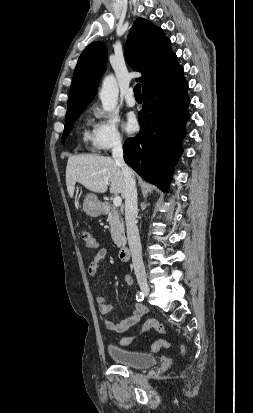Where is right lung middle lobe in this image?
<instances>
[{
    "instance_id": "dd1d6c3e",
    "label": "right lung middle lobe",
    "mask_w": 253,
    "mask_h": 413,
    "mask_svg": "<svg viewBox=\"0 0 253 413\" xmlns=\"http://www.w3.org/2000/svg\"><path fill=\"white\" fill-rule=\"evenodd\" d=\"M80 114H77V115L70 116V117L66 118L65 128H64V132H63V136H62V144L64 143V140L68 136L69 131L73 128V124L77 120V118L79 117Z\"/></svg>"
}]
</instances>
